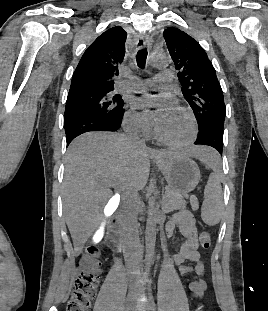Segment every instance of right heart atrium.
<instances>
[{
  "mask_svg": "<svg viewBox=\"0 0 268 311\" xmlns=\"http://www.w3.org/2000/svg\"><path fill=\"white\" fill-rule=\"evenodd\" d=\"M125 128L135 133H146L151 128V122L144 113L129 111L125 115Z\"/></svg>",
  "mask_w": 268,
  "mask_h": 311,
  "instance_id": "d8ad5b80",
  "label": "right heart atrium"
}]
</instances>
